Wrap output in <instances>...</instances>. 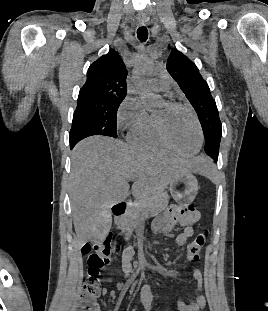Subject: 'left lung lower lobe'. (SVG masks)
<instances>
[{
	"mask_svg": "<svg viewBox=\"0 0 268 311\" xmlns=\"http://www.w3.org/2000/svg\"><path fill=\"white\" fill-rule=\"evenodd\" d=\"M218 160V157L217 158H215V160L214 161H217Z\"/></svg>",
	"mask_w": 268,
	"mask_h": 311,
	"instance_id": "left-lung-lower-lobe-1",
	"label": "left lung lower lobe"
}]
</instances>
